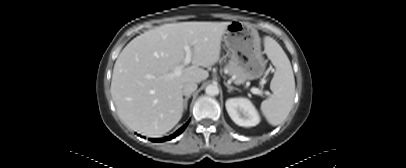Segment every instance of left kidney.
I'll list each match as a JSON object with an SVG mask.
<instances>
[{
    "label": "left kidney",
    "instance_id": "obj_1",
    "mask_svg": "<svg viewBox=\"0 0 406 168\" xmlns=\"http://www.w3.org/2000/svg\"><path fill=\"white\" fill-rule=\"evenodd\" d=\"M225 106L231 119L239 126L252 127L260 122L256 108L246 98H230Z\"/></svg>",
    "mask_w": 406,
    "mask_h": 168
}]
</instances>
